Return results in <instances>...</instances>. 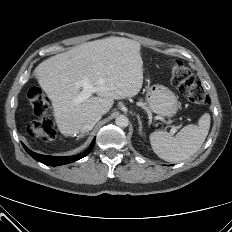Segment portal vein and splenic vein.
Returning a JSON list of instances; mask_svg holds the SVG:
<instances>
[{
    "mask_svg": "<svg viewBox=\"0 0 232 232\" xmlns=\"http://www.w3.org/2000/svg\"><path fill=\"white\" fill-rule=\"evenodd\" d=\"M76 86L78 88H82V91L73 99V103L75 105L87 100L92 96L93 93L96 92V88L88 80H81L76 82ZM177 131L176 127L171 129V134H175Z\"/></svg>",
    "mask_w": 232,
    "mask_h": 232,
    "instance_id": "portal-vein-and-splenic-vein-1",
    "label": "portal vein and splenic vein"
}]
</instances>
